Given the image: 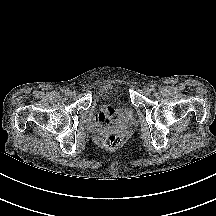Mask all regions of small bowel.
<instances>
[{"instance_id":"small-bowel-1","label":"small bowel","mask_w":216,"mask_h":216,"mask_svg":"<svg viewBox=\"0 0 216 216\" xmlns=\"http://www.w3.org/2000/svg\"><path fill=\"white\" fill-rule=\"evenodd\" d=\"M118 112L110 106L103 105L99 111L93 114L91 123L95 128L109 126Z\"/></svg>"}]
</instances>
